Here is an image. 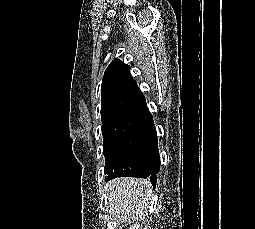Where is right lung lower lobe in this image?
Wrapping results in <instances>:
<instances>
[{"label": "right lung lower lobe", "instance_id": "obj_1", "mask_svg": "<svg viewBox=\"0 0 255 229\" xmlns=\"http://www.w3.org/2000/svg\"><path fill=\"white\" fill-rule=\"evenodd\" d=\"M125 115L141 123L144 130H152L156 133L152 115L150 114L146 104L127 111ZM159 169H160V157L158 152V146L156 143L149 164L146 168L134 167L127 172L108 175L106 177V180L114 179L116 177H137V178L148 177L153 187L155 188L157 183V173Z\"/></svg>", "mask_w": 255, "mask_h": 229}]
</instances>
